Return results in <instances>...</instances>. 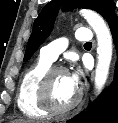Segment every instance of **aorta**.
Masks as SVG:
<instances>
[{"label": "aorta", "mask_w": 118, "mask_h": 123, "mask_svg": "<svg viewBox=\"0 0 118 123\" xmlns=\"http://www.w3.org/2000/svg\"><path fill=\"white\" fill-rule=\"evenodd\" d=\"M80 14L93 29L97 37L98 61L95 70L94 87L97 93H100L106 84L112 60V36L106 22L98 13L82 9Z\"/></svg>", "instance_id": "762f6f07"}]
</instances>
